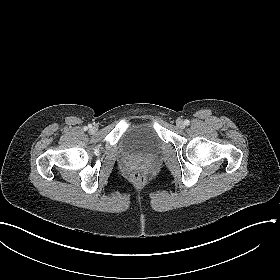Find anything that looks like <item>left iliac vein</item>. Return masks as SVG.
Returning <instances> with one entry per match:
<instances>
[{
  "mask_svg": "<svg viewBox=\"0 0 280 280\" xmlns=\"http://www.w3.org/2000/svg\"><path fill=\"white\" fill-rule=\"evenodd\" d=\"M176 125H177L178 128H181V129L184 127V123H183V121H181V120H178V121L176 122Z\"/></svg>",
  "mask_w": 280,
  "mask_h": 280,
  "instance_id": "1",
  "label": "left iliac vein"
}]
</instances>
